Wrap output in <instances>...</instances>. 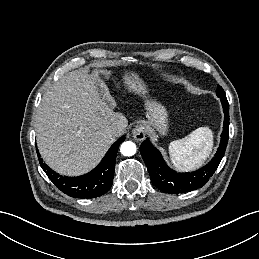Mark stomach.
<instances>
[{"label":"stomach","instance_id":"obj_1","mask_svg":"<svg viewBox=\"0 0 259 259\" xmlns=\"http://www.w3.org/2000/svg\"><path fill=\"white\" fill-rule=\"evenodd\" d=\"M93 74L102 80H108L111 76V71L106 69H95ZM123 78L130 90L140 94H145L147 92L145 84L139 80L134 72H126ZM145 105L147 110V121H144V124L149 129L156 130L161 135H165L168 131V113L165 107L153 100H147Z\"/></svg>","mask_w":259,"mask_h":259}]
</instances>
